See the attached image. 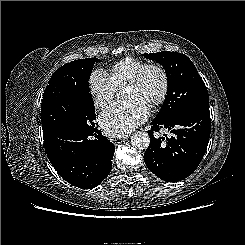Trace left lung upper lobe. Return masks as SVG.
Wrapping results in <instances>:
<instances>
[{"label":"left lung upper lobe","instance_id":"1","mask_svg":"<svg viewBox=\"0 0 245 245\" xmlns=\"http://www.w3.org/2000/svg\"><path fill=\"white\" fill-rule=\"evenodd\" d=\"M144 57L161 64L168 79L166 99L154 120L169 121L191 106L209 104L207 88L185 54L163 51Z\"/></svg>","mask_w":245,"mask_h":245}]
</instances>
